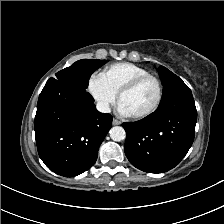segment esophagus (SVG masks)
<instances>
[{
    "mask_svg": "<svg viewBox=\"0 0 224 224\" xmlns=\"http://www.w3.org/2000/svg\"><path fill=\"white\" fill-rule=\"evenodd\" d=\"M113 125H120L121 121L117 120V119H113Z\"/></svg>",
    "mask_w": 224,
    "mask_h": 224,
    "instance_id": "obj_1",
    "label": "esophagus"
}]
</instances>
